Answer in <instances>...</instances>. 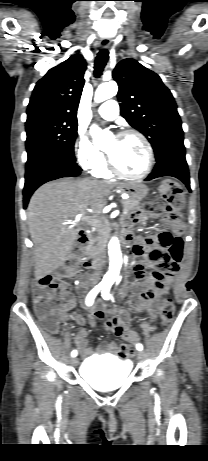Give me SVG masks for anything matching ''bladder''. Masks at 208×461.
I'll return each mask as SVG.
<instances>
[{
	"mask_svg": "<svg viewBox=\"0 0 208 461\" xmlns=\"http://www.w3.org/2000/svg\"><path fill=\"white\" fill-rule=\"evenodd\" d=\"M131 364L109 355L86 359L80 367L82 378L92 387L101 391L121 387L129 377Z\"/></svg>",
	"mask_w": 208,
	"mask_h": 461,
	"instance_id": "bladder-1",
	"label": "bladder"
}]
</instances>
